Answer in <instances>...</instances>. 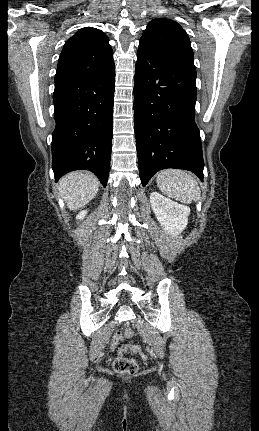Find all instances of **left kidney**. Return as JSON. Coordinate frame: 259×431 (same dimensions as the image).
Wrapping results in <instances>:
<instances>
[{
    "instance_id": "5707ae66",
    "label": "left kidney",
    "mask_w": 259,
    "mask_h": 431,
    "mask_svg": "<svg viewBox=\"0 0 259 431\" xmlns=\"http://www.w3.org/2000/svg\"><path fill=\"white\" fill-rule=\"evenodd\" d=\"M150 203L157 220L168 234L177 236L185 229L190 214L189 207L157 192L151 193Z\"/></svg>"
}]
</instances>
